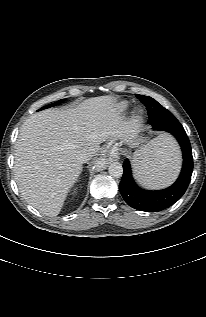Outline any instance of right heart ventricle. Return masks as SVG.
<instances>
[{
    "instance_id": "obj_1",
    "label": "right heart ventricle",
    "mask_w": 206,
    "mask_h": 317,
    "mask_svg": "<svg viewBox=\"0 0 206 317\" xmlns=\"http://www.w3.org/2000/svg\"><path fill=\"white\" fill-rule=\"evenodd\" d=\"M128 107H129V103L121 102V103L118 104L117 109H118L119 112H123L126 109H128Z\"/></svg>"
}]
</instances>
